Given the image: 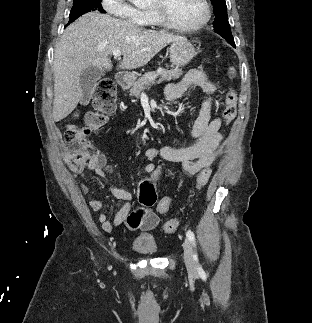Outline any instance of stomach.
Instances as JSON below:
<instances>
[{
    "label": "stomach",
    "instance_id": "1",
    "mask_svg": "<svg viewBox=\"0 0 312 323\" xmlns=\"http://www.w3.org/2000/svg\"><path fill=\"white\" fill-rule=\"evenodd\" d=\"M196 54V48L186 38H180L177 42H172L169 48V58L176 68H181V66L189 64ZM124 80L125 82H130V84H134L136 78L133 74H126Z\"/></svg>",
    "mask_w": 312,
    "mask_h": 323
}]
</instances>
